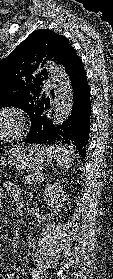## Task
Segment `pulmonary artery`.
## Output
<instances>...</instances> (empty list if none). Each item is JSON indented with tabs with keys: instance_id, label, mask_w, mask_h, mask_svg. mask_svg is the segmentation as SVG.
<instances>
[{
	"instance_id": "pulmonary-artery-1",
	"label": "pulmonary artery",
	"mask_w": 113,
	"mask_h": 279,
	"mask_svg": "<svg viewBox=\"0 0 113 279\" xmlns=\"http://www.w3.org/2000/svg\"><path fill=\"white\" fill-rule=\"evenodd\" d=\"M44 89H50V84H45Z\"/></svg>"
}]
</instances>
